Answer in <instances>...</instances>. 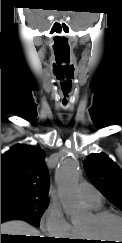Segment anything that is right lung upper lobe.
Returning <instances> with one entry per match:
<instances>
[{
	"label": "right lung upper lobe",
	"mask_w": 122,
	"mask_h": 243,
	"mask_svg": "<svg viewBox=\"0 0 122 243\" xmlns=\"http://www.w3.org/2000/svg\"><path fill=\"white\" fill-rule=\"evenodd\" d=\"M45 153L37 146L17 144L1 155V196L48 198Z\"/></svg>",
	"instance_id": "1"
}]
</instances>
